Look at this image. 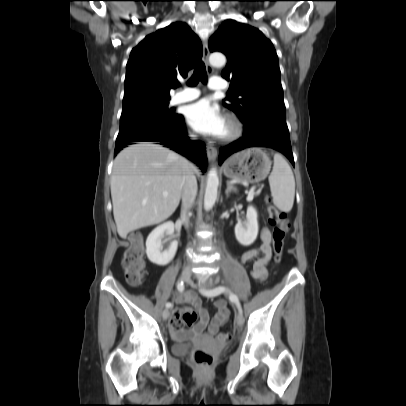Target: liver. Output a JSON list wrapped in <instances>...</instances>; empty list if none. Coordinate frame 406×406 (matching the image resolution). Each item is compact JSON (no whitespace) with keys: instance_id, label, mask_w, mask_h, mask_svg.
Masks as SVG:
<instances>
[{"instance_id":"liver-1","label":"liver","mask_w":406,"mask_h":406,"mask_svg":"<svg viewBox=\"0 0 406 406\" xmlns=\"http://www.w3.org/2000/svg\"><path fill=\"white\" fill-rule=\"evenodd\" d=\"M190 165L175 152L151 142L122 150L114 160L111 197L119 236L169 218L179 205L184 167ZM167 192V196H163Z\"/></svg>"}]
</instances>
